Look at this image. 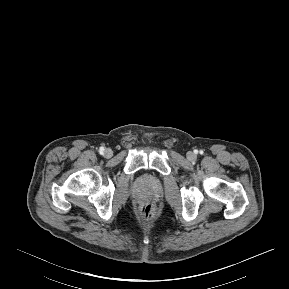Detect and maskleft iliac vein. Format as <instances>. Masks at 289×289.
Instances as JSON below:
<instances>
[{
	"label": "left iliac vein",
	"mask_w": 289,
	"mask_h": 289,
	"mask_svg": "<svg viewBox=\"0 0 289 289\" xmlns=\"http://www.w3.org/2000/svg\"><path fill=\"white\" fill-rule=\"evenodd\" d=\"M187 158H188L189 160H193V159L195 158V155H194L192 152H189V153L187 154Z\"/></svg>",
	"instance_id": "1"
}]
</instances>
